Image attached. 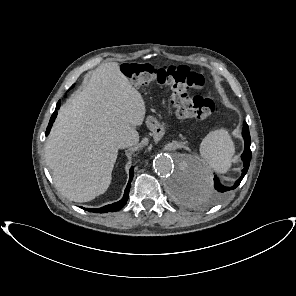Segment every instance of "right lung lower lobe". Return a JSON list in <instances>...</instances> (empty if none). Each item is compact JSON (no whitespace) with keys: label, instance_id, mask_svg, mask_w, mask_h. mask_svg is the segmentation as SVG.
Wrapping results in <instances>:
<instances>
[{"label":"right lung lower lobe","instance_id":"right-lung-lower-lobe-1","mask_svg":"<svg viewBox=\"0 0 296 296\" xmlns=\"http://www.w3.org/2000/svg\"><path fill=\"white\" fill-rule=\"evenodd\" d=\"M73 87V86H72ZM60 108V101L57 103L56 105V110L54 111V113L52 114L51 118H50V121H49V124H48V127L46 129V135L49 134L50 132V129L52 127V124L57 116V110ZM134 169L133 167L130 169V178H129V182L127 184V187L125 189V193H124V196L123 198L118 201V202H115L113 204H109V205H106L104 207H101V208H97V209H89V208H83L89 212H94V213H107V212H115V211H118L120 210L127 202L128 200V194H129V191H130V186H131V181H132V178H133V175H134Z\"/></svg>","mask_w":296,"mask_h":296}]
</instances>
